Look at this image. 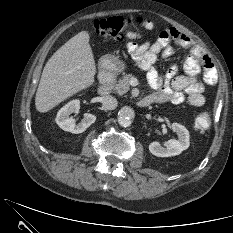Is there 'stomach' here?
<instances>
[{
  "instance_id": "stomach-1",
  "label": "stomach",
  "mask_w": 233,
  "mask_h": 233,
  "mask_svg": "<svg viewBox=\"0 0 233 233\" xmlns=\"http://www.w3.org/2000/svg\"><path fill=\"white\" fill-rule=\"evenodd\" d=\"M110 68L112 71L119 73L124 69V64L115 56H110Z\"/></svg>"
}]
</instances>
